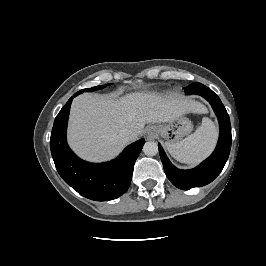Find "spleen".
<instances>
[{
  "mask_svg": "<svg viewBox=\"0 0 266 266\" xmlns=\"http://www.w3.org/2000/svg\"><path fill=\"white\" fill-rule=\"evenodd\" d=\"M216 138V126L210 119L203 118L193 134L176 143L166 142L165 146L175 160L185 164H197L211 153Z\"/></svg>",
  "mask_w": 266,
  "mask_h": 266,
  "instance_id": "3e777b00",
  "label": "spleen"
}]
</instances>
